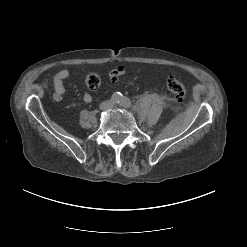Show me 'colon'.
<instances>
[{
	"label": "colon",
	"instance_id": "5ec220e1",
	"mask_svg": "<svg viewBox=\"0 0 247 247\" xmlns=\"http://www.w3.org/2000/svg\"><path fill=\"white\" fill-rule=\"evenodd\" d=\"M101 83V78L97 73H89L86 76V85L90 89H97ZM167 93L171 98L180 102L186 96V88L183 82L176 76L172 75L166 83Z\"/></svg>",
	"mask_w": 247,
	"mask_h": 247
}]
</instances>
